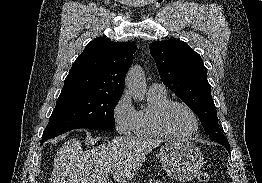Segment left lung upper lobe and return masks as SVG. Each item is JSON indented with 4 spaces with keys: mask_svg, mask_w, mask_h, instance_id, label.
Instances as JSON below:
<instances>
[{
    "mask_svg": "<svg viewBox=\"0 0 262 183\" xmlns=\"http://www.w3.org/2000/svg\"><path fill=\"white\" fill-rule=\"evenodd\" d=\"M163 83L199 117L212 141L227 140L219 131L217 112L200 55L180 40L150 44Z\"/></svg>",
    "mask_w": 262,
    "mask_h": 183,
    "instance_id": "1",
    "label": "left lung upper lobe"
}]
</instances>
